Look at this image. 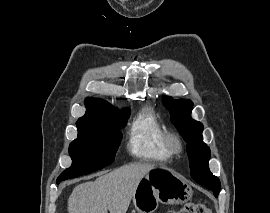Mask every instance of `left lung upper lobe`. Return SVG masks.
<instances>
[{
    "instance_id": "1",
    "label": "left lung upper lobe",
    "mask_w": 270,
    "mask_h": 213,
    "mask_svg": "<svg viewBox=\"0 0 270 213\" xmlns=\"http://www.w3.org/2000/svg\"><path fill=\"white\" fill-rule=\"evenodd\" d=\"M163 104L170 111L171 120L187 142V152L190 161L191 177L212 190L217 196L220 181L209 170L210 149L203 142V125L190 117L192 102L190 100H174L165 96Z\"/></svg>"
}]
</instances>
